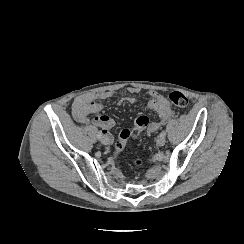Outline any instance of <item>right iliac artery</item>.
<instances>
[{"label":"right iliac artery","instance_id":"1","mask_svg":"<svg viewBox=\"0 0 244 244\" xmlns=\"http://www.w3.org/2000/svg\"><path fill=\"white\" fill-rule=\"evenodd\" d=\"M103 136V133L102 131H99L98 134H97V138L100 140Z\"/></svg>","mask_w":244,"mask_h":244}]
</instances>
